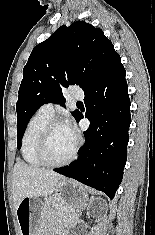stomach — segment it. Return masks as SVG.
Returning a JSON list of instances; mask_svg holds the SVG:
<instances>
[{
    "label": "stomach",
    "mask_w": 155,
    "mask_h": 235,
    "mask_svg": "<svg viewBox=\"0 0 155 235\" xmlns=\"http://www.w3.org/2000/svg\"><path fill=\"white\" fill-rule=\"evenodd\" d=\"M49 200L62 204L69 209L82 208L87 201V194L76 181L63 179L57 184L54 194ZM47 204L38 197H25L18 208L16 216L20 228V235H44L43 226Z\"/></svg>",
    "instance_id": "obj_1"
}]
</instances>
